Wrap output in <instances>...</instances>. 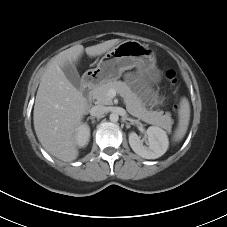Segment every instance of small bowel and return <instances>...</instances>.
I'll list each match as a JSON object with an SVG mask.
<instances>
[{
	"label": "small bowel",
	"instance_id": "c3829d8e",
	"mask_svg": "<svg viewBox=\"0 0 227 227\" xmlns=\"http://www.w3.org/2000/svg\"><path fill=\"white\" fill-rule=\"evenodd\" d=\"M126 87L132 90L133 94L143 102V104L152 107L158 104L160 95L153 88L149 87L146 80L140 78L137 73H128L126 75Z\"/></svg>",
	"mask_w": 227,
	"mask_h": 227
}]
</instances>
